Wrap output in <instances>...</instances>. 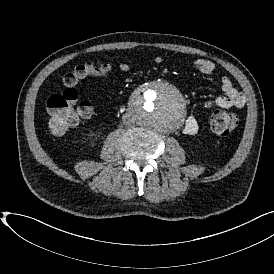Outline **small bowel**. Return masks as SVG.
<instances>
[{
  "instance_id": "small-bowel-1",
  "label": "small bowel",
  "mask_w": 274,
  "mask_h": 274,
  "mask_svg": "<svg viewBox=\"0 0 274 274\" xmlns=\"http://www.w3.org/2000/svg\"><path fill=\"white\" fill-rule=\"evenodd\" d=\"M164 58L161 55L153 57L152 63L155 65L162 64ZM194 67L207 76H213L216 70V66L213 61L209 59H197L194 61ZM121 72H130L132 66L128 62H120L117 66ZM114 67L109 63H101L97 66H90L87 75L90 77L109 78L113 73ZM221 88L224 96H219L215 99L208 100L204 103L205 109H211L214 107L229 109V108H242L245 106L246 97L245 94L236 88L231 79L227 75L220 77ZM199 130V122L196 115L191 114L187 117L183 131L187 135H195Z\"/></svg>"
}]
</instances>
